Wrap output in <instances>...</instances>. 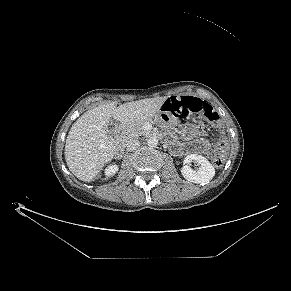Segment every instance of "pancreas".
Wrapping results in <instances>:
<instances>
[{
    "label": "pancreas",
    "mask_w": 291,
    "mask_h": 291,
    "mask_svg": "<svg viewBox=\"0 0 291 291\" xmlns=\"http://www.w3.org/2000/svg\"><path fill=\"white\" fill-rule=\"evenodd\" d=\"M144 122L133 123L130 125H126L121 133L122 139L125 141L131 137H139L140 135L146 133L143 129Z\"/></svg>",
    "instance_id": "cf45deb5"
}]
</instances>
